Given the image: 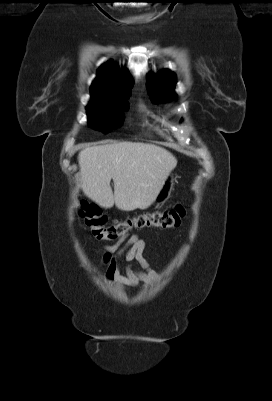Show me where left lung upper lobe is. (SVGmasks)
<instances>
[{
    "label": "left lung upper lobe",
    "instance_id": "left-lung-upper-lobe-1",
    "mask_svg": "<svg viewBox=\"0 0 272 401\" xmlns=\"http://www.w3.org/2000/svg\"><path fill=\"white\" fill-rule=\"evenodd\" d=\"M176 83L175 74L164 70L159 75H148L147 89L154 102H163L174 98V87Z\"/></svg>",
    "mask_w": 272,
    "mask_h": 401
}]
</instances>
